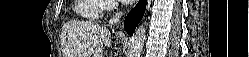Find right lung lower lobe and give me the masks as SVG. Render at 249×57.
<instances>
[{
  "label": "right lung lower lobe",
  "mask_w": 249,
  "mask_h": 57,
  "mask_svg": "<svg viewBox=\"0 0 249 57\" xmlns=\"http://www.w3.org/2000/svg\"><path fill=\"white\" fill-rule=\"evenodd\" d=\"M146 8V0H140L138 4L127 15L124 27L129 35H132L137 24L141 21Z\"/></svg>",
  "instance_id": "98d812e1"
}]
</instances>
